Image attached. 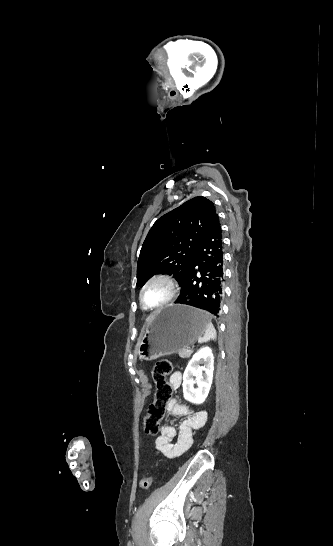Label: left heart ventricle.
<instances>
[{"label": "left heart ventricle", "instance_id": "1", "mask_svg": "<svg viewBox=\"0 0 333 546\" xmlns=\"http://www.w3.org/2000/svg\"><path fill=\"white\" fill-rule=\"evenodd\" d=\"M170 295V288L161 281L152 283L144 292V299L147 305L157 306L164 302Z\"/></svg>", "mask_w": 333, "mask_h": 546}]
</instances>
